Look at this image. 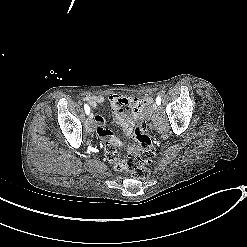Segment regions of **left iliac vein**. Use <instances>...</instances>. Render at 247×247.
Here are the masks:
<instances>
[{
	"label": "left iliac vein",
	"instance_id": "left-iliac-vein-1",
	"mask_svg": "<svg viewBox=\"0 0 247 247\" xmlns=\"http://www.w3.org/2000/svg\"><path fill=\"white\" fill-rule=\"evenodd\" d=\"M158 108V105L157 104H154L153 105V110H156Z\"/></svg>",
	"mask_w": 247,
	"mask_h": 247
}]
</instances>
